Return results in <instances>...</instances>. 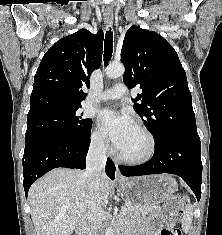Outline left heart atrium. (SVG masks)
I'll list each match as a JSON object with an SVG mask.
<instances>
[{"label": "left heart atrium", "instance_id": "obj_1", "mask_svg": "<svg viewBox=\"0 0 222 235\" xmlns=\"http://www.w3.org/2000/svg\"><path fill=\"white\" fill-rule=\"evenodd\" d=\"M99 119L103 131L109 136L114 145L120 149L134 125L132 119L125 113L118 114L112 110H103L99 115Z\"/></svg>", "mask_w": 222, "mask_h": 235}]
</instances>
